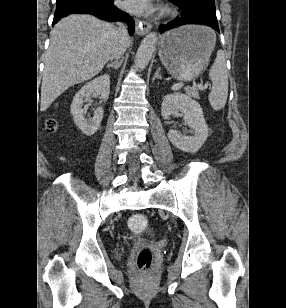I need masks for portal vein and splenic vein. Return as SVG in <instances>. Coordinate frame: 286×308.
Instances as JSON below:
<instances>
[{
  "mask_svg": "<svg viewBox=\"0 0 286 308\" xmlns=\"http://www.w3.org/2000/svg\"><path fill=\"white\" fill-rule=\"evenodd\" d=\"M184 86V83L183 82H179L177 83L176 85H174L172 88L173 89H178V88H182ZM200 87L201 89H207L208 88V84H205L204 86H198Z\"/></svg>",
  "mask_w": 286,
  "mask_h": 308,
  "instance_id": "portal-vein-and-splenic-vein-1",
  "label": "portal vein and splenic vein"
}]
</instances>
